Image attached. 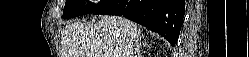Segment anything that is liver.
I'll list each match as a JSON object with an SVG mask.
<instances>
[{"label":"liver","instance_id":"liver-1","mask_svg":"<svg viewBox=\"0 0 249 57\" xmlns=\"http://www.w3.org/2000/svg\"><path fill=\"white\" fill-rule=\"evenodd\" d=\"M141 33L136 23L119 16L100 15L94 25L74 22L62 31V57H128Z\"/></svg>","mask_w":249,"mask_h":57}]
</instances>
